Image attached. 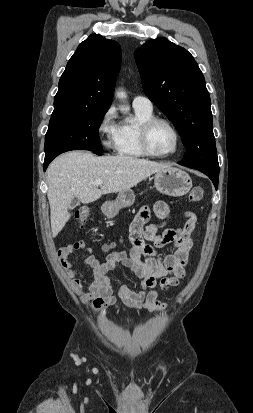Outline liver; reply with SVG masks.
Here are the masks:
<instances>
[{"mask_svg": "<svg viewBox=\"0 0 253 413\" xmlns=\"http://www.w3.org/2000/svg\"><path fill=\"white\" fill-rule=\"evenodd\" d=\"M170 164L118 155L96 157L90 152L71 151L55 158L47 169L51 230L56 237L71 217L73 198L91 203L102 195L130 190L145 178ZM102 180L98 188L95 181Z\"/></svg>", "mask_w": 253, "mask_h": 413, "instance_id": "liver-1", "label": "liver"}]
</instances>
